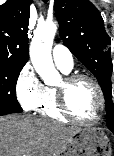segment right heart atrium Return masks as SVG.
I'll list each match as a JSON object with an SVG mask.
<instances>
[{"mask_svg":"<svg viewBox=\"0 0 114 156\" xmlns=\"http://www.w3.org/2000/svg\"><path fill=\"white\" fill-rule=\"evenodd\" d=\"M45 86L42 84L32 66L27 64L19 72L15 82V94L25 111L37 108L44 97Z\"/></svg>","mask_w":114,"mask_h":156,"instance_id":"1","label":"right heart atrium"}]
</instances>
